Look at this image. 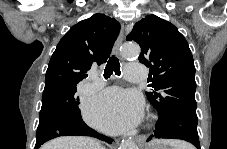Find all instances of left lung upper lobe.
<instances>
[{
    "label": "left lung upper lobe",
    "instance_id": "1",
    "mask_svg": "<svg viewBox=\"0 0 227 149\" xmlns=\"http://www.w3.org/2000/svg\"><path fill=\"white\" fill-rule=\"evenodd\" d=\"M127 41L141 47L139 61L150 68L146 92L158 113L182 111L196 114L195 66L184 36L168 21L148 15L137 22Z\"/></svg>",
    "mask_w": 227,
    "mask_h": 149
}]
</instances>
